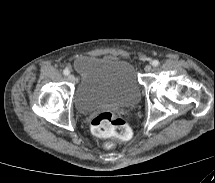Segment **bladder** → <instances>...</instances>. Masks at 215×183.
Returning a JSON list of instances; mask_svg holds the SVG:
<instances>
[{"instance_id": "1", "label": "bladder", "mask_w": 215, "mask_h": 183, "mask_svg": "<svg viewBox=\"0 0 215 183\" xmlns=\"http://www.w3.org/2000/svg\"><path fill=\"white\" fill-rule=\"evenodd\" d=\"M74 68L79 76L74 105L82 114L133 106L140 98L136 71L126 60L83 56L75 61Z\"/></svg>"}]
</instances>
